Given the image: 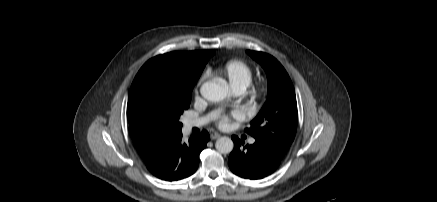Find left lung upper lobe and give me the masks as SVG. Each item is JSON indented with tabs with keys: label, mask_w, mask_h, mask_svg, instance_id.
Wrapping results in <instances>:
<instances>
[{
	"label": "left lung upper lobe",
	"mask_w": 437,
	"mask_h": 202,
	"mask_svg": "<svg viewBox=\"0 0 437 202\" xmlns=\"http://www.w3.org/2000/svg\"><path fill=\"white\" fill-rule=\"evenodd\" d=\"M247 53L267 74L268 99L245 131L276 155L284 157L296 134L297 102L292 81L273 56L250 50Z\"/></svg>",
	"instance_id": "1"
}]
</instances>
